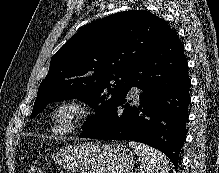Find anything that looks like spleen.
Wrapping results in <instances>:
<instances>
[{
  "label": "spleen",
  "mask_w": 219,
  "mask_h": 173,
  "mask_svg": "<svg viewBox=\"0 0 219 173\" xmlns=\"http://www.w3.org/2000/svg\"><path fill=\"white\" fill-rule=\"evenodd\" d=\"M129 147L142 162L137 173H168L170 170L168 158L158 150L135 141H129Z\"/></svg>",
  "instance_id": "1"
}]
</instances>
